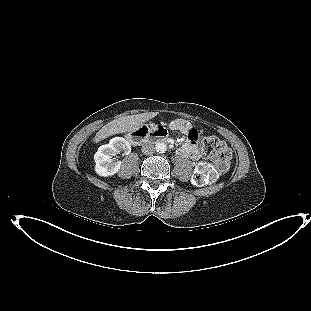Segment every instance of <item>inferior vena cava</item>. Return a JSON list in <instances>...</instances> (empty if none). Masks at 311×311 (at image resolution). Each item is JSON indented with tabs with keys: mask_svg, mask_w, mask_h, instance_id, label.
<instances>
[{
	"mask_svg": "<svg viewBox=\"0 0 311 311\" xmlns=\"http://www.w3.org/2000/svg\"><path fill=\"white\" fill-rule=\"evenodd\" d=\"M142 152L145 155H152L155 152V147L152 143H144L142 146Z\"/></svg>",
	"mask_w": 311,
	"mask_h": 311,
	"instance_id": "602c4592",
	"label": "inferior vena cava"
}]
</instances>
